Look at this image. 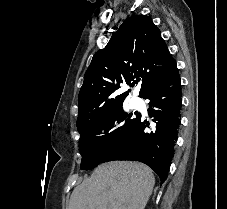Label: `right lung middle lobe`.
Listing matches in <instances>:
<instances>
[{
  "instance_id": "right-lung-middle-lobe-1",
  "label": "right lung middle lobe",
  "mask_w": 227,
  "mask_h": 209,
  "mask_svg": "<svg viewBox=\"0 0 227 209\" xmlns=\"http://www.w3.org/2000/svg\"><path fill=\"white\" fill-rule=\"evenodd\" d=\"M124 99L112 98L104 102L105 110L98 115L77 119L80 133L79 151L82 155L81 169L91 170L101 163L103 157L122 138L135 119L122 109ZM102 132L105 135L96 136Z\"/></svg>"
}]
</instances>
